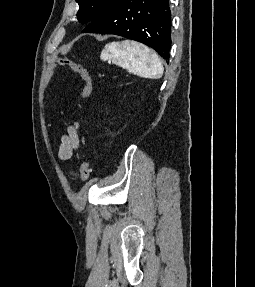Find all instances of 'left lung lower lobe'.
Masks as SVG:
<instances>
[{
    "label": "left lung lower lobe",
    "instance_id": "obj_1",
    "mask_svg": "<svg viewBox=\"0 0 255 287\" xmlns=\"http://www.w3.org/2000/svg\"><path fill=\"white\" fill-rule=\"evenodd\" d=\"M82 32L115 34L142 42L168 61L171 48L169 0H111Z\"/></svg>",
    "mask_w": 255,
    "mask_h": 287
}]
</instances>
